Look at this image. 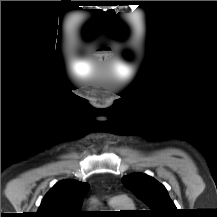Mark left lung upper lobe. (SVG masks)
<instances>
[{
	"label": "left lung upper lobe",
	"mask_w": 217,
	"mask_h": 217,
	"mask_svg": "<svg viewBox=\"0 0 217 217\" xmlns=\"http://www.w3.org/2000/svg\"><path fill=\"white\" fill-rule=\"evenodd\" d=\"M122 182L149 208L150 217H175L177 208L168 191L157 180L143 174L132 173L122 178Z\"/></svg>",
	"instance_id": "obj_1"
}]
</instances>
